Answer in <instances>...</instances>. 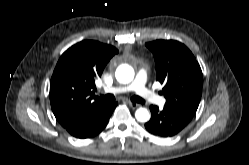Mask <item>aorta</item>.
<instances>
[{"label": "aorta", "instance_id": "1", "mask_svg": "<svg viewBox=\"0 0 249 165\" xmlns=\"http://www.w3.org/2000/svg\"><path fill=\"white\" fill-rule=\"evenodd\" d=\"M116 79L122 83H130L134 78V70L128 65H121L115 73ZM135 117L139 122H147L150 119V113L146 108H138L135 112Z\"/></svg>", "mask_w": 249, "mask_h": 165}]
</instances>
